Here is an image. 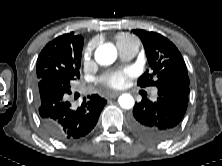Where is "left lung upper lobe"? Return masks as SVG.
<instances>
[{
    "instance_id": "left-lung-upper-lobe-1",
    "label": "left lung upper lobe",
    "mask_w": 222,
    "mask_h": 166,
    "mask_svg": "<svg viewBox=\"0 0 222 166\" xmlns=\"http://www.w3.org/2000/svg\"><path fill=\"white\" fill-rule=\"evenodd\" d=\"M141 39L151 67L139 78L140 87H159L165 82H180L189 85L184 59L176 46L166 37L145 30H133Z\"/></svg>"
}]
</instances>
